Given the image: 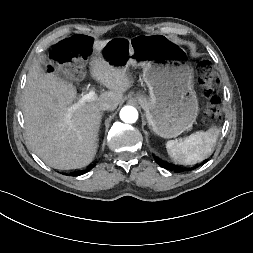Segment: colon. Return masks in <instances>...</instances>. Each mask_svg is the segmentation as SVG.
Masks as SVG:
<instances>
[{
  "mask_svg": "<svg viewBox=\"0 0 253 253\" xmlns=\"http://www.w3.org/2000/svg\"><path fill=\"white\" fill-rule=\"evenodd\" d=\"M92 41L84 35H75L60 41L52 51L54 61L61 65H81L91 53ZM201 72L199 83L208 104L204 111V121L208 124L216 122L220 118V102L218 98L219 77L210 72L208 63L203 61L199 64Z\"/></svg>",
  "mask_w": 253,
  "mask_h": 253,
  "instance_id": "5ec220e1",
  "label": "colon"
}]
</instances>
